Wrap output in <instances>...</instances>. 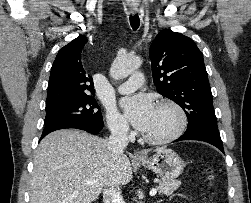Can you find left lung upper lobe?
Returning a JSON list of instances; mask_svg holds the SVG:
<instances>
[{
	"label": "left lung upper lobe",
	"instance_id": "1",
	"mask_svg": "<svg viewBox=\"0 0 251 203\" xmlns=\"http://www.w3.org/2000/svg\"><path fill=\"white\" fill-rule=\"evenodd\" d=\"M152 76L158 93L173 100L188 118L186 132L218 131L203 54L181 33L162 30L150 46Z\"/></svg>",
	"mask_w": 251,
	"mask_h": 203
}]
</instances>
